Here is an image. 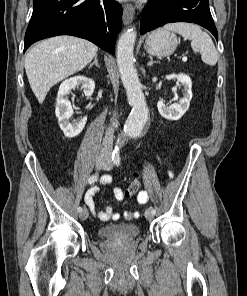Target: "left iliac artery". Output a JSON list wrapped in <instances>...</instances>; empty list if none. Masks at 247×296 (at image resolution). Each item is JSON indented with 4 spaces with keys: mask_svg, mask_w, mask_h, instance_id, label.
I'll list each match as a JSON object with an SVG mask.
<instances>
[{
    "mask_svg": "<svg viewBox=\"0 0 247 296\" xmlns=\"http://www.w3.org/2000/svg\"><path fill=\"white\" fill-rule=\"evenodd\" d=\"M112 160H113V162H114V164L116 166H119L120 165V154H119V152H113V154H112ZM151 212L153 214H155L156 213V210L152 208L151 209Z\"/></svg>",
    "mask_w": 247,
    "mask_h": 296,
    "instance_id": "44dca946",
    "label": "left iliac artery"
}]
</instances>
